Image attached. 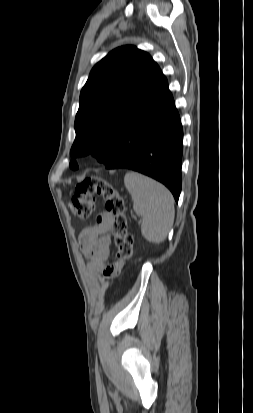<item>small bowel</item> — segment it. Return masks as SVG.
Wrapping results in <instances>:
<instances>
[{
	"mask_svg": "<svg viewBox=\"0 0 253 413\" xmlns=\"http://www.w3.org/2000/svg\"><path fill=\"white\" fill-rule=\"evenodd\" d=\"M112 228V215L103 211L97 216L96 223L85 227L79 235L81 249L89 259V270L105 279L114 278L122 269V263L106 265L110 256Z\"/></svg>",
	"mask_w": 253,
	"mask_h": 413,
	"instance_id": "1",
	"label": "small bowel"
}]
</instances>
